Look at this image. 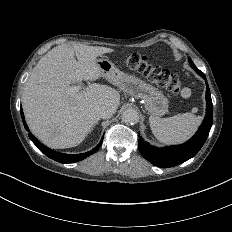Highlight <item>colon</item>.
Segmentation results:
<instances>
[{
	"label": "colon",
	"instance_id": "1",
	"mask_svg": "<svg viewBox=\"0 0 232 232\" xmlns=\"http://www.w3.org/2000/svg\"><path fill=\"white\" fill-rule=\"evenodd\" d=\"M146 61L148 56H139L136 52H130L126 56L125 70L150 78L153 86H161L164 91H173L179 97L188 95L189 88L186 81H179L177 74H165L164 66L147 64Z\"/></svg>",
	"mask_w": 232,
	"mask_h": 232
}]
</instances>
